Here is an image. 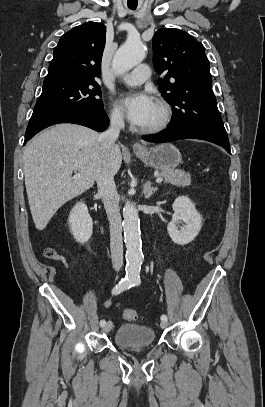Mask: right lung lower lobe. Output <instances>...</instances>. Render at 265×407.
Masks as SVG:
<instances>
[{
    "label": "right lung lower lobe",
    "mask_w": 265,
    "mask_h": 407,
    "mask_svg": "<svg viewBox=\"0 0 265 407\" xmlns=\"http://www.w3.org/2000/svg\"><path fill=\"white\" fill-rule=\"evenodd\" d=\"M108 121L107 114L104 110L83 109L75 112L65 113L27 128L24 144L39 131L54 124L75 123L84 125L96 131H103L107 127Z\"/></svg>",
    "instance_id": "1"
}]
</instances>
